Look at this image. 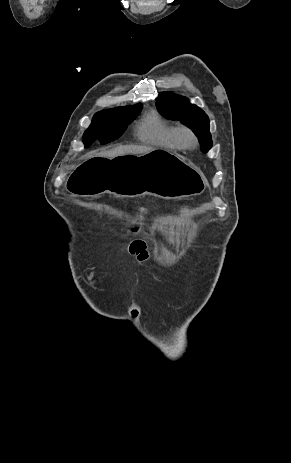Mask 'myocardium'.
I'll return each mask as SVG.
<instances>
[{
	"label": "myocardium",
	"instance_id": "obj_1",
	"mask_svg": "<svg viewBox=\"0 0 291 463\" xmlns=\"http://www.w3.org/2000/svg\"><path fill=\"white\" fill-rule=\"evenodd\" d=\"M176 139L181 147L193 148L197 144V137L194 131L188 126L176 128Z\"/></svg>",
	"mask_w": 291,
	"mask_h": 463
}]
</instances>
